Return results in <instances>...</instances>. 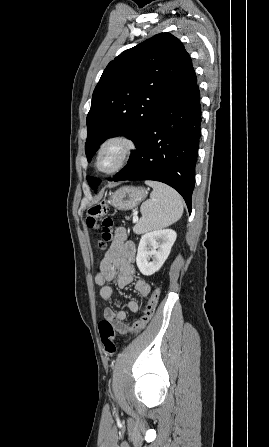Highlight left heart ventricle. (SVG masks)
Listing matches in <instances>:
<instances>
[{
	"label": "left heart ventricle",
	"instance_id": "left-heart-ventricle-1",
	"mask_svg": "<svg viewBox=\"0 0 269 447\" xmlns=\"http://www.w3.org/2000/svg\"><path fill=\"white\" fill-rule=\"evenodd\" d=\"M121 153V146L119 144H113L106 149L100 159L99 166L102 170H107L112 167L118 160Z\"/></svg>",
	"mask_w": 269,
	"mask_h": 447
}]
</instances>
